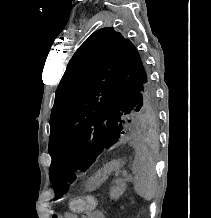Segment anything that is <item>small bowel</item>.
I'll list each match as a JSON object with an SVG mask.
<instances>
[{"mask_svg": "<svg viewBox=\"0 0 211 218\" xmlns=\"http://www.w3.org/2000/svg\"><path fill=\"white\" fill-rule=\"evenodd\" d=\"M83 218H104V216L98 210H88L84 213Z\"/></svg>", "mask_w": 211, "mask_h": 218, "instance_id": "1", "label": "small bowel"}]
</instances>
